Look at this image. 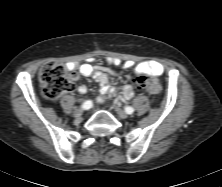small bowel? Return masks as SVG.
I'll return each mask as SVG.
<instances>
[{
  "label": "small bowel",
  "mask_w": 222,
  "mask_h": 187,
  "mask_svg": "<svg viewBox=\"0 0 222 187\" xmlns=\"http://www.w3.org/2000/svg\"><path fill=\"white\" fill-rule=\"evenodd\" d=\"M109 62L114 65L121 64L119 59H110ZM68 68L75 71L78 75L93 77L100 84L99 101H102L107 95H113L116 93V89L109 85L107 75L108 73L113 74L114 71L101 67H94L89 63L78 64L76 62L68 63ZM122 69H132L135 75L145 74L150 76H160L164 71L163 65L157 61H141L138 63H134L133 61H125L122 64ZM77 92L79 94L86 93L87 86L83 84L79 85L77 87ZM121 96L123 99H131L134 96L133 88L130 85L124 86Z\"/></svg>",
  "instance_id": "small-bowel-1"
}]
</instances>
